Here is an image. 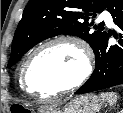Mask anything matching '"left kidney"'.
Segmentation results:
<instances>
[{
    "label": "left kidney",
    "mask_w": 123,
    "mask_h": 113,
    "mask_svg": "<svg viewBox=\"0 0 123 113\" xmlns=\"http://www.w3.org/2000/svg\"><path fill=\"white\" fill-rule=\"evenodd\" d=\"M118 113H123V109L121 111H119Z\"/></svg>",
    "instance_id": "left-kidney-1"
}]
</instances>
